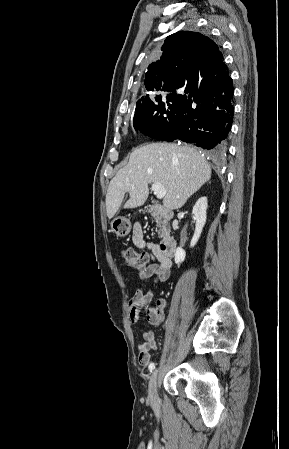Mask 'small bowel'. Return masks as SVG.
Returning a JSON list of instances; mask_svg holds the SVG:
<instances>
[{
    "mask_svg": "<svg viewBox=\"0 0 289 449\" xmlns=\"http://www.w3.org/2000/svg\"><path fill=\"white\" fill-rule=\"evenodd\" d=\"M132 242L140 250L145 251L152 258L153 263L138 272V280L140 284L146 283L148 280L159 283L166 281L170 276L171 259L165 257L159 249V245L146 242L143 235L142 227L139 224L134 226L132 232ZM153 297V291H143L139 289L129 301L130 321L137 324L140 321L141 308L146 305ZM163 302H159L157 306L152 307L147 312V319L153 325H164ZM157 347L156 336L152 331L143 333V342L138 345L139 363L147 365L150 362V351Z\"/></svg>",
    "mask_w": 289,
    "mask_h": 449,
    "instance_id": "small-bowel-1",
    "label": "small bowel"
}]
</instances>
